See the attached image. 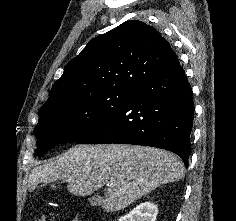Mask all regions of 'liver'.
<instances>
[{"instance_id": "obj_1", "label": "liver", "mask_w": 236, "mask_h": 221, "mask_svg": "<svg viewBox=\"0 0 236 221\" xmlns=\"http://www.w3.org/2000/svg\"><path fill=\"white\" fill-rule=\"evenodd\" d=\"M183 162L172 152L147 146L100 144L75 146L31 170L29 188L59 179L75 196L107 186L103 210L120 211L157 187L184 177Z\"/></svg>"}]
</instances>
